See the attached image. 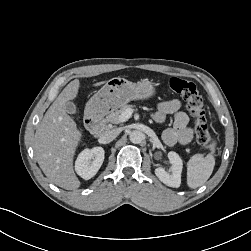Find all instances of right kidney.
I'll use <instances>...</instances> for the list:
<instances>
[{"label": "right kidney", "mask_w": 251, "mask_h": 251, "mask_svg": "<svg viewBox=\"0 0 251 251\" xmlns=\"http://www.w3.org/2000/svg\"><path fill=\"white\" fill-rule=\"evenodd\" d=\"M104 154L102 147L83 150L75 162L76 173L85 180L95 176L104 161Z\"/></svg>", "instance_id": "1"}]
</instances>
